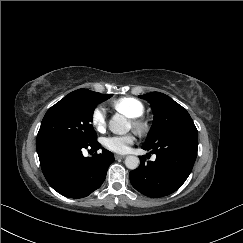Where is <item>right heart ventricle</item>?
<instances>
[{
	"label": "right heart ventricle",
	"mask_w": 243,
	"mask_h": 243,
	"mask_svg": "<svg viewBox=\"0 0 243 243\" xmlns=\"http://www.w3.org/2000/svg\"><path fill=\"white\" fill-rule=\"evenodd\" d=\"M110 106L128 118H139L144 113V105L133 97H122L111 102Z\"/></svg>",
	"instance_id": "obj_1"
}]
</instances>
